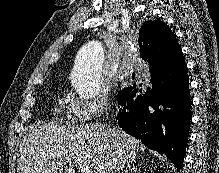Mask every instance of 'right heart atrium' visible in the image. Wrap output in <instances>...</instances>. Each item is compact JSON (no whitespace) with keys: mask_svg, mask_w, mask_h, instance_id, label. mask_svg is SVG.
Returning <instances> with one entry per match:
<instances>
[{"mask_svg":"<svg viewBox=\"0 0 219 173\" xmlns=\"http://www.w3.org/2000/svg\"><path fill=\"white\" fill-rule=\"evenodd\" d=\"M109 107L107 91H103L91 100L74 99L71 102V114L80 122H87L102 116Z\"/></svg>","mask_w":219,"mask_h":173,"instance_id":"right-heart-atrium-1","label":"right heart atrium"}]
</instances>
